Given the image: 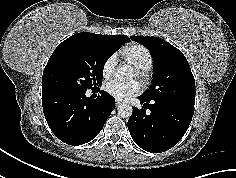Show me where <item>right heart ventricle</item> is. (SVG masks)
Segmentation results:
<instances>
[{"instance_id":"e07e8e85","label":"right heart ventricle","mask_w":236,"mask_h":178,"mask_svg":"<svg viewBox=\"0 0 236 178\" xmlns=\"http://www.w3.org/2000/svg\"><path fill=\"white\" fill-rule=\"evenodd\" d=\"M122 57L131 62L135 67L149 69L153 64L150 51L140 44H132L121 51Z\"/></svg>"}]
</instances>
